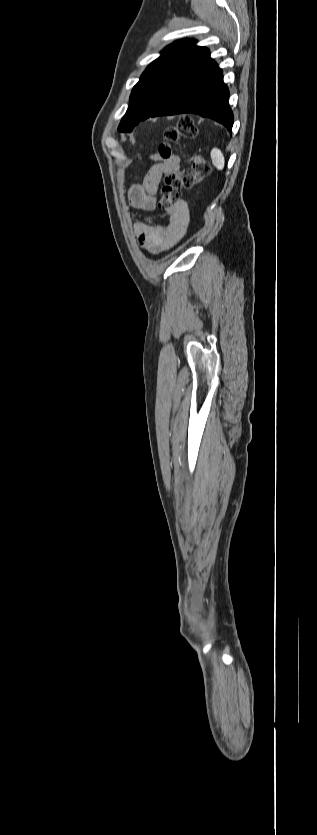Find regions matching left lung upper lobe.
Wrapping results in <instances>:
<instances>
[{
  "label": "left lung upper lobe",
  "mask_w": 317,
  "mask_h": 835,
  "mask_svg": "<svg viewBox=\"0 0 317 835\" xmlns=\"http://www.w3.org/2000/svg\"><path fill=\"white\" fill-rule=\"evenodd\" d=\"M205 49L196 46L191 39L179 40L167 46L134 86L128 110L118 130L131 132L139 122L151 117L167 99L184 71Z\"/></svg>",
  "instance_id": "obj_1"
}]
</instances>
